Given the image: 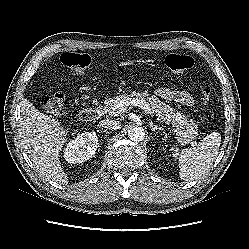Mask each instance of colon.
Segmentation results:
<instances>
[{"mask_svg":"<svg viewBox=\"0 0 249 249\" xmlns=\"http://www.w3.org/2000/svg\"><path fill=\"white\" fill-rule=\"evenodd\" d=\"M60 60L63 65L71 69L74 74L81 75L91 67V57L84 52H65L61 55ZM167 69L173 74H182L191 70L194 65V59L191 56L172 53L165 59ZM212 87L205 86L201 89V100L207 105L211 101ZM44 110L53 115L58 116L64 106V95L55 93L52 96L45 97L41 100Z\"/></svg>","mask_w":249,"mask_h":249,"instance_id":"5ec220e1","label":"colon"}]
</instances>
